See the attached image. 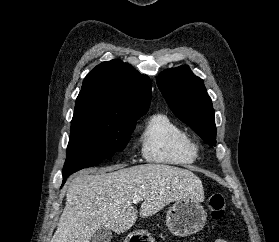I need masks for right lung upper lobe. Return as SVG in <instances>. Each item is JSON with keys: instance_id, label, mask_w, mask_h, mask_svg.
Masks as SVG:
<instances>
[{"instance_id": "1", "label": "right lung upper lobe", "mask_w": 279, "mask_h": 242, "mask_svg": "<svg viewBox=\"0 0 279 242\" xmlns=\"http://www.w3.org/2000/svg\"><path fill=\"white\" fill-rule=\"evenodd\" d=\"M151 81L120 60L103 62L84 79L74 117L138 120L151 101Z\"/></svg>"}]
</instances>
